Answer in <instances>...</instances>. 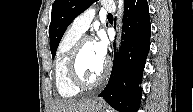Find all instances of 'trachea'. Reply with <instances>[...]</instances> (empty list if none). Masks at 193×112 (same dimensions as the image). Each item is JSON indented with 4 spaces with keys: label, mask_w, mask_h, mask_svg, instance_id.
Returning <instances> with one entry per match:
<instances>
[{
    "label": "trachea",
    "mask_w": 193,
    "mask_h": 112,
    "mask_svg": "<svg viewBox=\"0 0 193 112\" xmlns=\"http://www.w3.org/2000/svg\"><path fill=\"white\" fill-rule=\"evenodd\" d=\"M108 17H113V15L109 13V14H108Z\"/></svg>",
    "instance_id": "trachea-1"
}]
</instances>
